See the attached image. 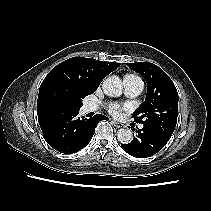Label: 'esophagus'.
I'll list each match as a JSON object with an SVG mask.
<instances>
[{
	"mask_svg": "<svg viewBox=\"0 0 211 211\" xmlns=\"http://www.w3.org/2000/svg\"><path fill=\"white\" fill-rule=\"evenodd\" d=\"M112 124L117 128H123L124 127V125L122 123L115 121V120L112 121Z\"/></svg>",
	"mask_w": 211,
	"mask_h": 211,
	"instance_id": "34e87169",
	"label": "esophagus"
}]
</instances>
